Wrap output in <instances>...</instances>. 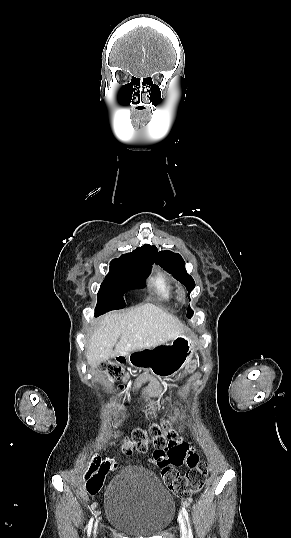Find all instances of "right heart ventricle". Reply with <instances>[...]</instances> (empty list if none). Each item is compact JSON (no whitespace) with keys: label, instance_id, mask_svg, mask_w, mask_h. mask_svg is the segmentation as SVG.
Wrapping results in <instances>:
<instances>
[{"label":"right heart ventricle","instance_id":"1","mask_svg":"<svg viewBox=\"0 0 291 538\" xmlns=\"http://www.w3.org/2000/svg\"><path fill=\"white\" fill-rule=\"evenodd\" d=\"M151 284L155 293L163 299H169L175 293V285L161 271L157 273Z\"/></svg>","mask_w":291,"mask_h":538}]
</instances>
